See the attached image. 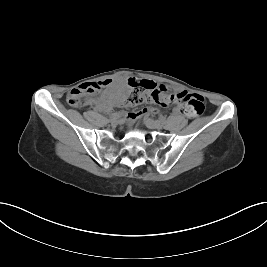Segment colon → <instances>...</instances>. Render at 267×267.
Segmentation results:
<instances>
[{
  "label": "colon",
  "instance_id": "obj_1",
  "mask_svg": "<svg viewBox=\"0 0 267 267\" xmlns=\"http://www.w3.org/2000/svg\"><path fill=\"white\" fill-rule=\"evenodd\" d=\"M128 84L130 90L122 99L123 103L127 106L138 105L142 102L169 106L174 101V95L168 93V90L164 86H157L150 80L131 79ZM88 91V85H81L72 89L67 96L68 103L74 107L82 106L84 97ZM180 97L185 102V105H182L181 112L187 117H198L204 112L205 101L201 95L190 94L184 91Z\"/></svg>",
  "mask_w": 267,
  "mask_h": 267
}]
</instances>
